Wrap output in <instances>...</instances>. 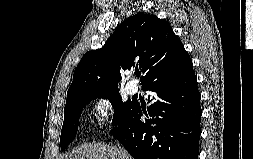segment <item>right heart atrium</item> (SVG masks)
Here are the masks:
<instances>
[{
    "mask_svg": "<svg viewBox=\"0 0 253 159\" xmlns=\"http://www.w3.org/2000/svg\"><path fill=\"white\" fill-rule=\"evenodd\" d=\"M94 122L101 130L107 129L114 118L111 101L107 97L97 98L91 106Z\"/></svg>",
    "mask_w": 253,
    "mask_h": 159,
    "instance_id": "d8ad5b80",
    "label": "right heart atrium"
}]
</instances>
